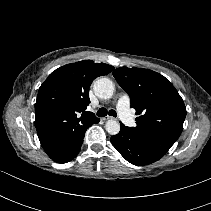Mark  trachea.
<instances>
[{"mask_svg": "<svg viewBox=\"0 0 211 211\" xmlns=\"http://www.w3.org/2000/svg\"><path fill=\"white\" fill-rule=\"evenodd\" d=\"M107 114L110 115V116H113V117H116V116H117L116 111L113 110V109L107 111L106 108H100V109L97 111V116H99V117H105Z\"/></svg>", "mask_w": 211, "mask_h": 211, "instance_id": "obj_1", "label": "trachea"}]
</instances>
